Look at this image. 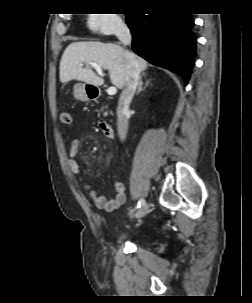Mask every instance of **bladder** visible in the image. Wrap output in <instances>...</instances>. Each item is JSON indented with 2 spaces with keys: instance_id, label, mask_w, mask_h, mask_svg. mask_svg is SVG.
Masks as SVG:
<instances>
[{
  "instance_id": "1",
  "label": "bladder",
  "mask_w": 252,
  "mask_h": 303,
  "mask_svg": "<svg viewBox=\"0 0 252 303\" xmlns=\"http://www.w3.org/2000/svg\"><path fill=\"white\" fill-rule=\"evenodd\" d=\"M118 237L121 239V240H124V241H134V240H138V242H140V244L144 247H148V243L142 239H135L132 235L130 234H125V233H121L118 235Z\"/></svg>"
}]
</instances>
